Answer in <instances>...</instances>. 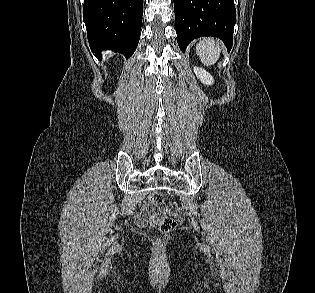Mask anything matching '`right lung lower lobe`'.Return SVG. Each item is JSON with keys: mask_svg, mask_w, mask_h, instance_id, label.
<instances>
[{"mask_svg": "<svg viewBox=\"0 0 315 293\" xmlns=\"http://www.w3.org/2000/svg\"><path fill=\"white\" fill-rule=\"evenodd\" d=\"M142 0H84L83 20L91 50L103 49L130 57L139 42Z\"/></svg>", "mask_w": 315, "mask_h": 293, "instance_id": "obj_1", "label": "right lung lower lobe"}]
</instances>
